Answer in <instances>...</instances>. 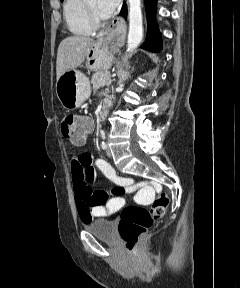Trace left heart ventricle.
<instances>
[{"mask_svg":"<svg viewBox=\"0 0 240 288\" xmlns=\"http://www.w3.org/2000/svg\"><path fill=\"white\" fill-rule=\"evenodd\" d=\"M87 3L93 8L97 16L102 18L97 11V0H87Z\"/></svg>","mask_w":240,"mask_h":288,"instance_id":"b2bd125f","label":"left heart ventricle"}]
</instances>
